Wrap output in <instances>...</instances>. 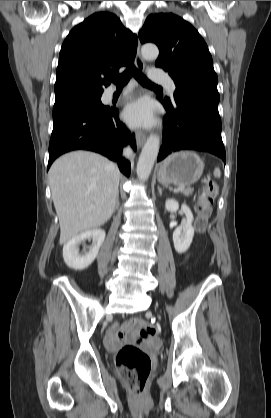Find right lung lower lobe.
Segmentation results:
<instances>
[{
    "instance_id": "right-lung-lower-lobe-1",
    "label": "right lung lower lobe",
    "mask_w": 271,
    "mask_h": 418,
    "mask_svg": "<svg viewBox=\"0 0 271 418\" xmlns=\"http://www.w3.org/2000/svg\"><path fill=\"white\" fill-rule=\"evenodd\" d=\"M128 143L136 146L134 137L120 122L117 108L100 106L68 112L53 118L48 169L63 153L84 149L118 161L120 170L129 176L130 163L121 157Z\"/></svg>"
}]
</instances>
